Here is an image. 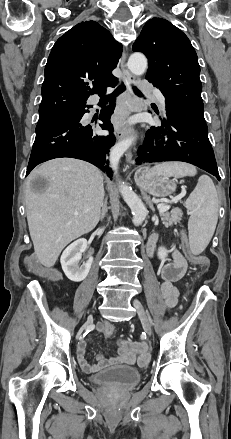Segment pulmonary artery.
I'll list each match as a JSON object with an SVG mask.
<instances>
[{"instance_id":"obj_1","label":"pulmonary artery","mask_w":231,"mask_h":439,"mask_svg":"<svg viewBox=\"0 0 231 439\" xmlns=\"http://www.w3.org/2000/svg\"><path fill=\"white\" fill-rule=\"evenodd\" d=\"M153 93H154L155 96L157 97L158 102H159V105H160V107L162 108V110H163L164 112H166L167 105H166L165 98H164V96L162 95V93H161L160 91H158V90H153Z\"/></svg>"}]
</instances>
